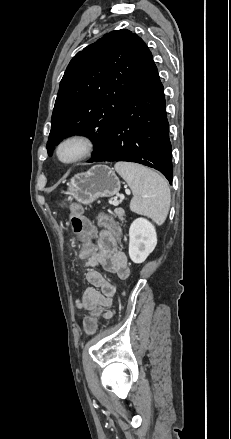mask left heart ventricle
<instances>
[{"label":"left heart ventricle","mask_w":231,"mask_h":439,"mask_svg":"<svg viewBox=\"0 0 231 439\" xmlns=\"http://www.w3.org/2000/svg\"><path fill=\"white\" fill-rule=\"evenodd\" d=\"M81 151V146L77 143H71L63 147L61 150V157L65 160L71 159L78 155Z\"/></svg>","instance_id":"b2bd125f"}]
</instances>
